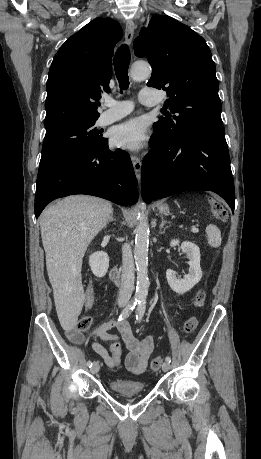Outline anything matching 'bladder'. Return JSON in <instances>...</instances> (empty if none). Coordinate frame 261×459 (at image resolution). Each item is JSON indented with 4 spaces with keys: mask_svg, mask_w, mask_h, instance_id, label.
<instances>
[{
    "mask_svg": "<svg viewBox=\"0 0 261 459\" xmlns=\"http://www.w3.org/2000/svg\"><path fill=\"white\" fill-rule=\"evenodd\" d=\"M109 389L119 395H135L145 391V385L138 380L113 379L108 383Z\"/></svg>",
    "mask_w": 261,
    "mask_h": 459,
    "instance_id": "bladder-1",
    "label": "bladder"
}]
</instances>
